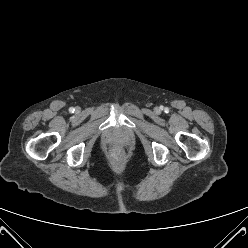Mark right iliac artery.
Returning a JSON list of instances; mask_svg holds the SVG:
<instances>
[{"label": "right iliac artery", "instance_id": "obj_1", "mask_svg": "<svg viewBox=\"0 0 248 248\" xmlns=\"http://www.w3.org/2000/svg\"><path fill=\"white\" fill-rule=\"evenodd\" d=\"M74 110H75V109H74V108H72V107L69 109V111H70L71 113H73V112H74Z\"/></svg>", "mask_w": 248, "mask_h": 248}]
</instances>
